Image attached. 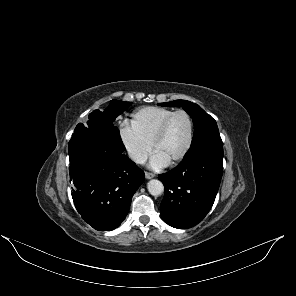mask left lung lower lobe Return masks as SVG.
Here are the masks:
<instances>
[{
  "label": "left lung lower lobe",
  "mask_w": 296,
  "mask_h": 296,
  "mask_svg": "<svg viewBox=\"0 0 296 296\" xmlns=\"http://www.w3.org/2000/svg\"><path fill=\"white\" fill-rule=\"evenodd\" d=\"M223 174V147H212L185 158L158 178L165 187L160 205L167 224L186 229L197 225L210 211Z\"/></svg>",
  "instance_id": "left-lung-lower-lobe-1"
}]
</instances>
